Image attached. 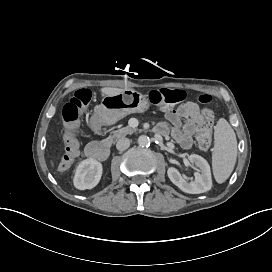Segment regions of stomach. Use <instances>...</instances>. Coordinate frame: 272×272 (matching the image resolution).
Listing matches in <instances>:
<instances>
[{"label":"stomach","mask_w":272,"mask_h":272,"mask_svg":"<svg viewBox=\"0 0 272 272\" xmlns=\"http://www.w3.org/2000/svg\"><path fill=\"white\" fill-rule=\"evenodd\" d=\"M101 106L117 118L130 113H142L149 108V100L143 94L133 89H126L122 93L106 95Z\"/></svg>","instance_id":"0dacf381"}]
</instances>
